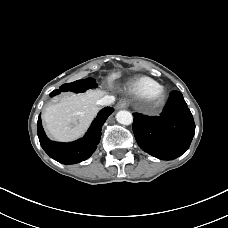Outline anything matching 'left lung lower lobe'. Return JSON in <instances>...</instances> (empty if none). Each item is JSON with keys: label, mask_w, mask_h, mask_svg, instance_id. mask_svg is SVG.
Wrapping results in <instances>:
<instances>
[{"label": "left lung lower lobe", "mask_w": 228, "mask_h": 228, "mask_svg": "<svg viewBox=\"0 0 228 228\" xmlns=\"http://www.w3.org/2000/svg\"><path fill=\"white\" fill-rule=\"evenodd\" d=\"M133 132L141 149L162 160L181 156L190 146L195 123L178 91H172L160 116L134 113Z\"/></svg>", "instance_id": "1"}]
</instances>
